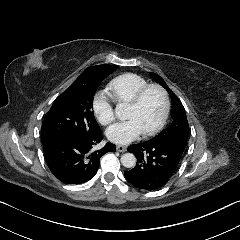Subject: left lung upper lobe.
Wrapping results in <instances>:
<instances>
[{
    "label": "left lung upper lobe",
    "mask_w": 240,
    "mask_h": 240,
    "mask_svg": "<svg viewBox=\"0 0 240 240\" xmlns=\"http://www.w3.org/2000/svg\"><path fill=\"white\" fill-rule=\"evenodd\" d=\"M150 76L160 85H162L170 94L172 102V124L161 131L157 136L148 140L151 143H163L171 142L177 143L186 147L188 135H189V126L187 121V116L185 109L179 100V98L170 90L165 81L156 73L150 72Z\"/></svg>",
    "instance_id": "5c2ea615"
}]
</instances>
